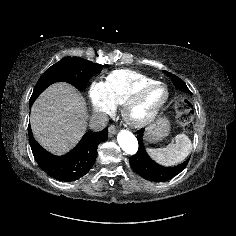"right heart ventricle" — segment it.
<instances>
[{"instance_id": "1", "label": "right heart ventricle", "mask_w": 236, "mask_h": 236, "mask_svg": "<svg viewBox=\"0 0 236 236\" xmlns=\"http://www.w3.org/2000/svg\"><path fill=\"white\" fill-rule=\"evenodd\" d=\"M104 82L107 101L116 107L122 105L140 87L155 80L137 71L120 69L109 73Z\"/></svg>"}]
</instances>
